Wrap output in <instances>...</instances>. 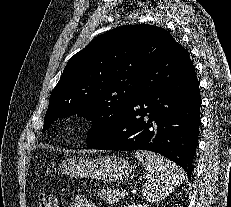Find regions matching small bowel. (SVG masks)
<instances>
[{
  "instance_id": "small-bowel-1",
  "label": "small bowel",
  "mask_w": 231,
  "mask_h": 207,
  "mask_svg": "<svg viewBox=\"0 0 231 207\" xmlns=\"http://www.w3.org/2000/svg\"><path fill=\"white\" fill-rule=\"evenodd\" d=\"M69 207H96V205L83 196H75L70 202Z\"/></svg>"
}]
</instances>
